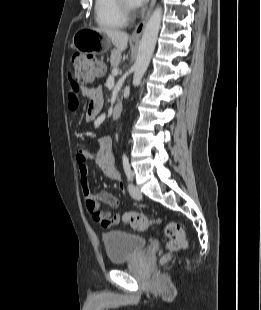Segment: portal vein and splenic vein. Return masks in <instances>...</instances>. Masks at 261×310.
Instances as JSON below:
<instances>
[{"label":"portal vein and splenic vein","instance_id":"portal-vein-and-splenic-vein-1","mask_svg":"<svg viewBox=\"0 0 261 310\" xmlns=\"http://www.w3.org/2000/svg\"><path fill=\"white\" fill-rule=\"evenodd\" d=\"M117 74H118V69L117 68H113L111 76L113 77V76H116Z\"/></svg>","mask_w":261,"mask_h":310}]
</instances>
